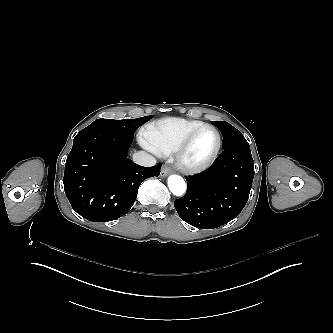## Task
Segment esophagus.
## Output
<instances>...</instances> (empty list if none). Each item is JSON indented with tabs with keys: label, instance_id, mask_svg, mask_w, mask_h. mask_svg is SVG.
Returning a JSON list of instances; mask_svg holds the SVG:
<instances>
[{
	"label": "esophagus",
	"instance_id": "34e87169",
	"mask_svg": "<svg viewBox=\"0 0 333 333\" xmlns=\"http://www.w3.org/2000/svg\"><path fill=\"white\" fill-rule=\"evenodd\" d=\"M170 173H171V169H170V167L164 165V166L162 167V169H161V174H160V176H161L162 178H164V177L168 176Z\"/></svg>",
	"mask_w": 333,
	"mask_h": 333
}]
</instances>
